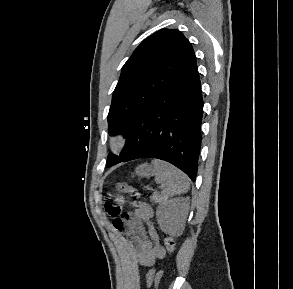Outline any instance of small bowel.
Masks as SVG:
<instances>
[{
  "label": "small bowel",
  "instance_id": "obj_1",
  "mask_svg": "<svg viewBox=\"0 0 293 289\" xmlns=\"http://www.w3.org/2000/svg\"><path fill=\"white\" fill-rule=\"evenodd\" d=\"M124 203V198L116 200ZM133 210L113 220L114 228L129 240H123L124 247L134 263L147 269V286L152 284L156 275L154 264L163 259L166 251L161 244L159 233L152 221L153 210L145 203H132Z\"/></svg>",
  "mask_w": 293,
  "mask_h": 289
}]
</instances>
